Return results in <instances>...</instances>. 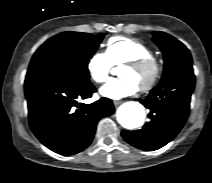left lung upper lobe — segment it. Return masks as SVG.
<instances>
[{
  "instance_id": "5c2ea615",
  "label": "left lung upper lobe",
  "mask_w": 212,
  "mask_h": 183,
  "mask_svg": "<svg viewBox=\"0 0 212 183\" xmlns=\"http://www.w3.org/2000/svg\"><path fill=\"white\" fill-rule=\"evenodd\" d=\"M152 40L160 47L164 55L165 66L161 81L182 68L192 66L189 50L173 36L164 32H154Z\"/></svg>"
}]
</instances>
